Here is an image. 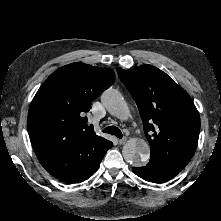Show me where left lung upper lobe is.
Returning <instances> with one entry per match:
<instances>
[{
  "label": "left lung upper lobe",
  "instance_id": "5c2ea615",
  "mask_svg": "<svg viewBox=\"0 0 221 221\" xmlns=\"http://www.w3.org/2000/svg\"><path fill=\"white\" fill-rule=\"evenodd\" d=\"M117 72L138 106L150 159L182 170L195 153L200 132L199 113L191 97L154 66L118 68Z\"/></svg>",
  "mask_w": 221,
  "mask_h": 221
}]
</instances>
